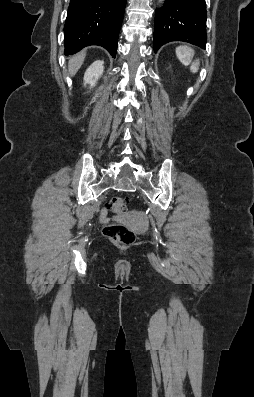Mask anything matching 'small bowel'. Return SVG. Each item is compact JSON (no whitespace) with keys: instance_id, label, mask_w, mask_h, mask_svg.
<instances>
[{"instance_id":"1","label":"small bowel","mask_w":254,"mask_h":397,"mask_svg":"<svg viewBox=\"0 0 254 397\" xmlns=\"http://www.w3.org/2000/svg\"><path fill=\"white\" fill-rule=\"evenodd\" d=\"M127 218L141 220V214L137 211H134L127 215L109 216L105 208H103L100 213V221L103 223H108L111 221H121Z\"/></svg>"}]
</instances>
